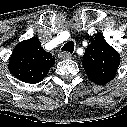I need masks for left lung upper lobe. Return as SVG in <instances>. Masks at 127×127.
I'll use <instances>...</instances> for the list:
<instances>
[{"mask_svg":"<svg viewBox=\"0 0 127 127\" xmlns=\"http://www.w3.org/2000/svg\"><path fill=\"white\" fill-rule=\"evenodd\" d=\"M89 42L82 61L84 70L92 82L106 84L116 75L120 55L105 41L103 35L91 37Z\"/></svg>","mask_w":127,"mask_h":127,"instance_id":"1","label":"left lung upper lobe"}]
</instances>
